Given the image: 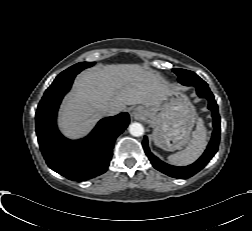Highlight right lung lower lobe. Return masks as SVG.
<instances>
[{"instance_id": "obj_1", "label": "right lung lower lobe", "mask_w": 252, "mask_h": 231, "mask_svg": "<svg viewBox=\"0 0 252 231\" xmlns=\"http://www.w3.org/2000/svg\"><path fill=\"white\" fill-rule=\"evenodd\" d=\"M75 76L51 84L38 105L35 120L38 142L47 165L62 176L80 182L107 170L114 142L130 119L127 113L104 118L81 140L72 141L62 136L56 126V115Z\"/></svg>"}]
</instances>
